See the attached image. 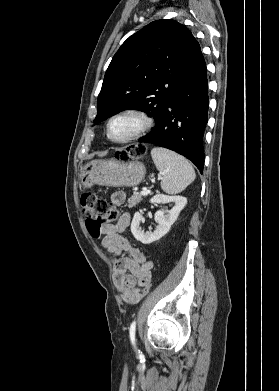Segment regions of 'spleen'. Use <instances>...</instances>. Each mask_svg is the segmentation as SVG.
<instances>
[{
  "instance_id": "3e777b00",
  "label": "spleen",
  "mask_w": 279,
  "mask_h": 391,
  "mask_svg": "<svg viewBox=\"0 0 279 391\" xmlns=\"http://www.w3.org/2000/svg\"><path fill=\"white\" fill-rule=\"evenodd\" d=\"M151 156L156 168L163 175L161 188L164 192L180 193L195 180V171L183 156L162 147L153 148Z\"/></svg>"
}]
</instances>
